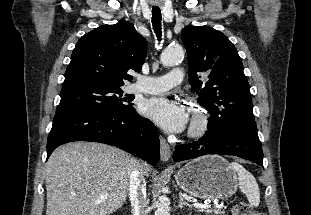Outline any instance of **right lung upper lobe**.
I'll list each match as a JSON object with an SVG mask.
<instances>
[{
	"instance_id": "1",
	"label": "right lung upper lobe",
	"mask_w": 311,
	"mask_h": 215,
	"mask_svg": "<svg viewBox=\"0 0 311 215\" xmlns=\"http://www.w3.org/2000/svg\"><path fill=\"white\" fill-rule=\"evenodd\" d=\"M146 47L147 41L128 21L100 26L77 42L63 86L94 83L121 87L124 80L132 81L128 70L141 71Z\"/></svg>"
}]
</instances>
